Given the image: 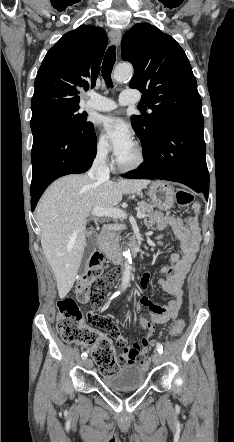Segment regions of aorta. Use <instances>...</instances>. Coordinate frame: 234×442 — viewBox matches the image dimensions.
I'll list each match as a JSON object with an SVG mask.
<instances>
[{
  "label": "aorta",
  "instance_id": "1",
  "mask_svg": "<svg viewBox=\"0 0 234 442\" xmlns=\"http://www.w3.org/2000/svg\"><path fill=\"white\" fill-rule=\"evenodd\" d=\"M132 75H133V67L131 64H120L116 66L113 78L117 82L122 83L124 81L129 80L132 77ZM123 255L125 257V263H124V270L122 273V285H121L122 291L126 290L129 285L131 269H132L131 267L132 259L129 250L125 251Z\"/></svg>",
  "mask_w": 234,
  "mask_h": 442
}]
</instances>
